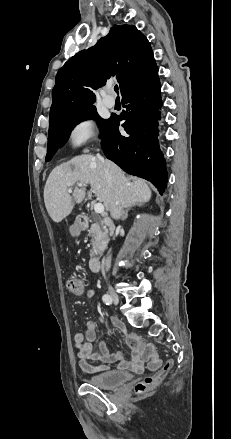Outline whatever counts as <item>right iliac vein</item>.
<instances>
[{"instance_id":"63e3f726","label":"right iliac vein","mask_w":231,"mask_h":439,"mask_svg":"<svg viewBox=\"0 0 231 439\" xmlns=\"http://www.w3.org/2000/svg\"><path fill=\"white\" fill-rule=\"evenodd\" d=\"M108 294L111 297V299H112L114 304H118L119 303V296H118V294L115 292V290L113 288L109 287Z\"/></svg>"}]
</instances>
